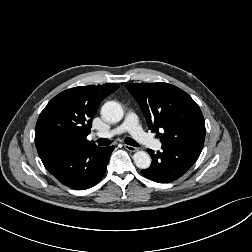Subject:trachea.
<instances>
[{
  "mask_svg": "<svg viewBox=\"0 0 252 252\" xmlns=\"http://www.w3.org/2000/svg\"><path fill=\"white\" fill-rule=\"evenodd\" d=\"M124 141L126 144L130 146L139 147V144L136 141H134L132 138H125ZM97 143L100 146H107L111 144V141L108 139L100 138L97 140Z\"/></svg>",
  "mask_w": 252,
  "mask_h": 252,
  "instance_id": "trachea-1",
  "label": "trachea"
}]
</instances>
